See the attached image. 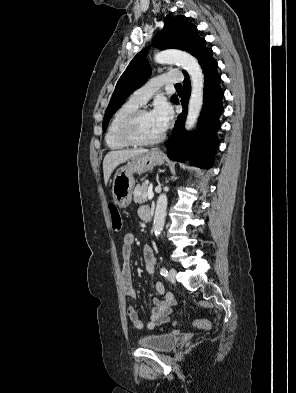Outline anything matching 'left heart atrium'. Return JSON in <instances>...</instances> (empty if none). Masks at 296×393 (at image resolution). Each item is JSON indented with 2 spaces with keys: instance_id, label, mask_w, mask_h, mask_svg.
I'll return each instance as SVG.
<instances>
[{
  "instance_id": "left-heart-atrium-1",
  "label": "left heart atrium",
  "mask_w": 296,
  "mask_h": 393,
  "mask_svg": "<svg viewBox=\"0 0 296 393\" xmlns=\"http://www.w3.org/2000/svg\"><path fill=\"white\" fill-rule=\"evenodd\" d=\"M151 113L159 129L162 132L165 131L173 117L171 105L165 100H160L155 104Z\"/></svg>"
}]
</instances>
